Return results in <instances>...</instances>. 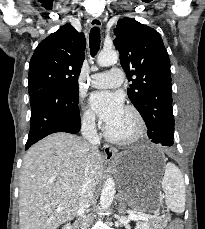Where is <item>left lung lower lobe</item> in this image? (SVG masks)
Returning <instances> with one entry per match:
<instances>
[{"label":"left lung lower lobe","instance_id":"0a47b994","mask_svg":"<svg viewBox=\"0 0 205 229\" xmlns=\"http://www.w3.org/2000/svg\"><path fill=\"white\" fill-rule=\"evenodd\" d=\"M158 132L160 133V134H158ZM153 134H155L154 136H153V138H154V141H156V142H153V143H159V137H158V135H162V131L160 130V129H156V131L155 132H152ZM151 136V135H150ZM149 136V137H150Z\"/></svg>","mask_w":205,"mask_h":229}]
</instances>
